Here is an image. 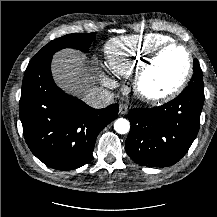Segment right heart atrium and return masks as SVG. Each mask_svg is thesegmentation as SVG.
I'll list each match as a JSON object with an SVG mask.
<instances>
[{
    "instance_id": "d8ad5b80",
    "label": "right heart atrium",
    "mask_w": 217,
    "mask_h": 217,
    "mask_svg": "<svg viewBox=\"0 0 217 217\" xmlns=\"http://www.w3.org/2000/svg\"><path fill=\"white\" fill-rule=\"evenodd\" d=\"M102 82L108 86H115L116 85L115 80L109 78L108 76H103Z\"/></svg>"
}]
</instances>
